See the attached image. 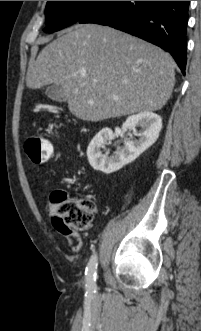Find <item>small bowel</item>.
Wrapping results in <instances>:
<instances>
[{
	"instance_id": "1",
	"label": "small bowel",
	"mask_w": 201,
	"mask_h": 331,
	"mask_svg": "<svg viewBox=\"0 0 201 331\" xmlns=\"http://www.w3.org/2000/svg\"><path fill=\"white\" fill-rule=\"evenodd\" d=\"M60 232L63 234L68 244L72 247V250L74 252H78L81 248L79 236L67 228H61Z\"/></svg>"
}]
</instances>
